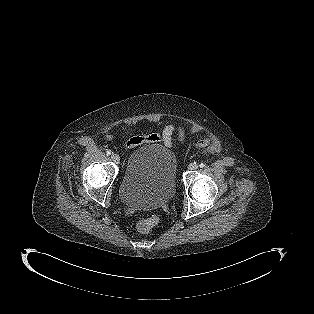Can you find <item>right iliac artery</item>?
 <instances>
[{
    "label": "right iliac artery",
    "mask_w": 314,
    "mask_h": 314,
    "mask_svg": "<svg viewBox=\"0 0 314 314\" xmlns=\"http://www.w3.org/2000/svg\"><path fill=\"white\" fill-rule=\"evenodd\" d=\"M106 154H107V155H110V154H111V151H110V150H107V151H106Z\"/></svg>",
    "instance_id": "right-iliac-artery-1"
}]
</instances>
